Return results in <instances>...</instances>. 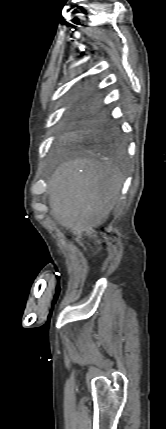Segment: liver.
<instances>
[{"mask_svg": "<svg viewBox=\"0 0 166 429\" xmlns=\"http://www.w3.org/2000/svg\"><path fill=\"white\" fill-rule=\"evenodd\" d=\"M122 184V173L112 166L90 159L64 162L48 181L51 214L73 234H88L107 220Z\"/></svg>", "mask_w": 166, "mask_h": 429, "instance_id": "6515ba94", "label": "liver"}]
</instances>
